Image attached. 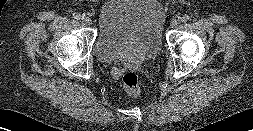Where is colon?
<instances>
[{
	"label": "colon",
	"instance_id": "1",
	"mask_svg": "<svg viewBox=\"0 0 253 131\" xmlns=\"http://www.w3.org/2000/svg\"><path fill=\"white\" fill-rule=\"evenodd\" d=\"M122 84L125 91L132 97H136L140 93L139 77L133 71H127L122 77Z\"/></svg>",
	"mask_w": 253,
	"mask_h": 131
}]
</instances>
